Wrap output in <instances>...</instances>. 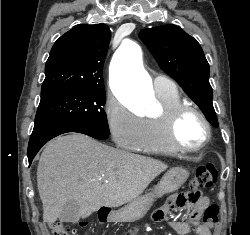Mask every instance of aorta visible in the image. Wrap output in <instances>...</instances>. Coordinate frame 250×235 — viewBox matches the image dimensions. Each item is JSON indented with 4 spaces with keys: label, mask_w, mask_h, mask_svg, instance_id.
I'll list each match as a JSON object with an SVG mask.
<instances>
[{
    "label": "aorta",
    "mask_w": 250,
    "mask_h": 235,
    "mask_svg": "<svg viewBox=\"0 0 250 235\" xmlns=\"http://www.w3.org/2000/svg\"><path fill=\"white\" fill-rule=\"evenodd\" d=\"M110 82L118 100L127 107L142 106L151 97L152 82L142 65V51L133 41H125L113 56Z\"/></svg>",
    "instance_id": "aorta-1"
}]
</instances>
